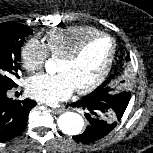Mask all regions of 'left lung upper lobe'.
Segmentation results:
<instances>
[{
    "instance_id": "1",
    "label": "left lung upper lobe",
    "mask_w": 153,
    "mask_h": 153,
    "mask_svg": "<svg viewBox=\"0 0 153 153\" xmlns=\"http://www.w3.org/2000/svg\"><path fill=\"white\" fill-rule=\"evenodd\" d=\"M126 61H129V56L126 57ZM114 78H108L97 89H95L85 98L106 102L108 104V107L105 110V117L109 121L117 124V122L121 120L126 110L131 93L123 91L119 94L111 95V80H113ZM121 83H123V81H121Z\"/></svg>"
}]
</instances>
